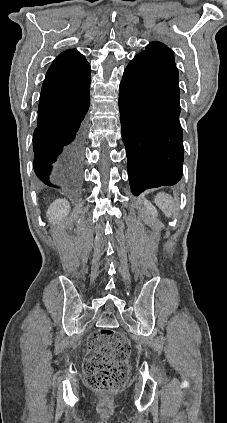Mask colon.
Masks as SVG:
<instances>
[{
	"label": "colon",
	"mask_w": 227,
	"mask_h": 423,
	"mask_svg": "<svg viewBox=\"0 0 227 423\" xmlns=\"http://www.w3.org/2000/svg\"><path fill=\"white\" fill-rule=\"evenodd\" d=\"M129 353L130 343L119 332L103 328L92 333L85 360L87 385L101 392L122 388L128 378Z\"/></svg>",
	"instance_id": "1"
}]
</instances>
